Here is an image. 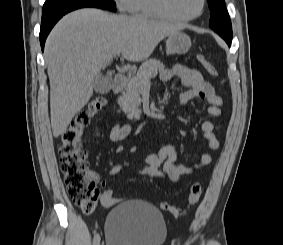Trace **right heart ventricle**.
<instances>
[{"label":"right heart ventricle","instance_id":"e07e8e85","mask_svg":"<svg viewBox=\"0 0 283 245\" xmlns=\"http://www.w3.org/2000/svg\"><path fill=\"white\" fill-rule=\"evenodd\" d=\"M128 11L133 15L168 19L156 9L154 0H130Z\"/></svg>","mask_w":283,"mask_h":245}]
</instances>
